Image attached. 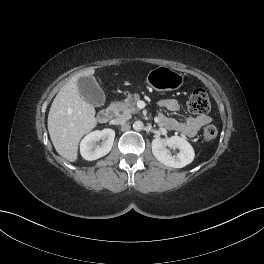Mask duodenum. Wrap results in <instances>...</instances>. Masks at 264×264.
Here are the masks:
<instances>
[{
  "label": "duodenum",
  "mask_w": 264,
  "mask_h": 264,
  "mask_svg": "<svg viewBox=\"0 0 264 264\" xmlns=\"http://www.w3.org/2000/svg\"><path fill=\"white\" fill-rule=\"evenodd\" d=\"M113 114H114L113 108L108 107L99 112L97 119L100 123H107L112 119Z\"/></svg>",
  "instance_id": "1"
}]
</instances>
